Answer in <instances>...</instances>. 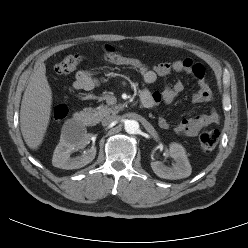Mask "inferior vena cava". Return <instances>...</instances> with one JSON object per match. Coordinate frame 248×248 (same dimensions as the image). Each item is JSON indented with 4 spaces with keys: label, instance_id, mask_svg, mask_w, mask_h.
<instances>
[{
    "label": "inferior vena cava",
    "instance_id": "602c4592",
    "mask_svg": "<svg viewBox=\"0 0 248 248\" xmlns=\"http://www.w3.org/2000/svg\"><path fill=\"white\" fill-rule=\"evenodd\" d=\"M117 120H119V116L109 115V116L102 119V125L107 126V125H110L111 123L116 122Z\"/></svg>",
    "mask_w": 248,
    "mask_h": 248
}]
</instances>
